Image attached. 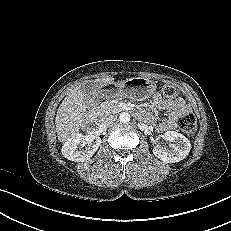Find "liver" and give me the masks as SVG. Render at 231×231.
<instances>
[{"label":"liver","instance_id":"obj_1","mask_svg":"<svg viewBox=\"0 0 231 231\" xmlns=\"http://www.w3.org/2000/svg\"><path fill=\"white\" fill-rule=\"evenodd\" d=\"M100 86H106L114 82L113 77L96 79ZM85 99L80 87L71 90L60 104L56 117L55 126L57 137L60 142L65 143L76 135L80 129H84L92 120L86 112Z\"/></svg>","mask_w":231,"mask_h":231}]
</instances>
